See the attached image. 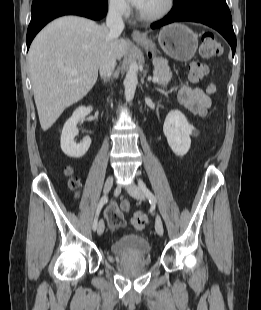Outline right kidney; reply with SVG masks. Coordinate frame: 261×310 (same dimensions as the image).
Masks as SVG:
<instances>
[{
	"label": "right kidney",
	"mask_w": 261,
	"mask_h": 310,
	"mask_svg": "<svg viewBox=\"0 0 261 310\" xmlns=\"http://www.w3.org/2000/svg\"><path fill=\"white\" fill-rule=\"evenodd\" d=\"M93 108L91 106L78 107L72 116L66 121L61 133V149L69 157L80 158L85 155L91 145V139L87 138L82 143L76 144L74 137L79 133L77 123L81 118L86 117Z\"/></svg>",
	"instance_id": "right-kidney-1"
}]
</instances>
